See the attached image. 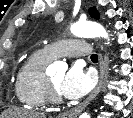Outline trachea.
Instances as JSON below:
<instances>
[{
	"mask_svg": "<svg viewBox=\"0 0 133 118\" xmlns=\"http://www.w3.org/2000/svg\"><path fill=\"white\" fill-rule=\"evenodd\" d=\"M91 60H92V61H97V60H98L97 54H92V55H91Z\"/></svg>",
	"mask_w": 133,
	"mask_h": 118,
	"instance_id": "obj_1",
	"label": "trachea"
}]
</instances>
